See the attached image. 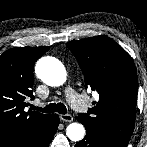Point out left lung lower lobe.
<instances>
[{"mask_svg": "<svg viewBox=\"0 0 147 147\" xmlns=\"http://www.w3.org/2000/svg\"><path fill=\"white\" fill-rule=\"evenodd\" d=\"M86 127V136L83 140L76 143L75 147H117L104 138L97 130L88 128L82 117H76Z\"/></svg>", "mask_w": 147, "mask_h": 147, "instance_id": "0a47b994", "label": "left lung lower lobe"}]
</instances>
